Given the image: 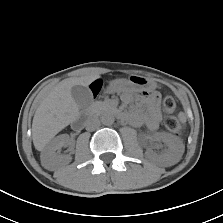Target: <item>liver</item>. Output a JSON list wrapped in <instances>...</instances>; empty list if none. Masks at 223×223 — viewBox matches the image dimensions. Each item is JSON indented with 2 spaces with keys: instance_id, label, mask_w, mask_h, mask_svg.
Segmentation results:
<instances>
[{
  "instance_id": "6515ba94",
  "label": "liver",
  "mask_w": 223,
  "mask_h": 223,
  "mask_svg": "<svg viewBox=\"0 0 223 223\" xmlns=\"http://www.w3.org/2000/svg\"><path fill=\"white\" fill-rule=\"evenodd\" d=\"M100 75L67 78L55 86L38 106L32 122L33 144L43 151L55 135L76 120L79 107L71 95L75 85L88 86Z\"/></svg>"
}]
</instances>
